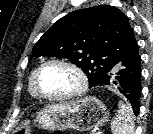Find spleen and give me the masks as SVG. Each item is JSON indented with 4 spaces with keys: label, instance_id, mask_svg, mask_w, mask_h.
<instances>
[{
    "label": "spleen",
    "instance_id": "3e777b00",
    "mask_svg": "<svg viewBox=\"0 0 153 134\" xmlns=\"http://www.w3.org/2000/svg\"><path fill=\"white\" fill-rule=\"evenodd\" d=\"M131 107L124 102L118 103V111L111 123L114 134H133L134 121Z\"/></svg>",
    "mask_w": 153,
    "mask_h": 134
}]
</instances>
